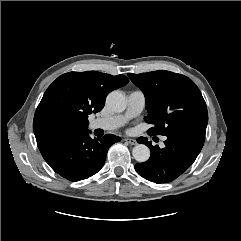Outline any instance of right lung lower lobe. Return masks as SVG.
<instances>
[{"mask_svg": "<svg viewBox=\"0 0 241 241\" xmlns=\"http://www.w3.org/2000/svg\"><path fill=\"white\" fill-rule=\"evenodd\" d=\"M120 140L112 134L92 139L87 130H69L42 137L37 145L56 173L77 182L97 173L105 163L108 149Z\"/></svg>", "mask_w": 241, "mask_h": 241, "instance_id": "98d812e1", "label": "right lung lower lobe"}]
</instances>
